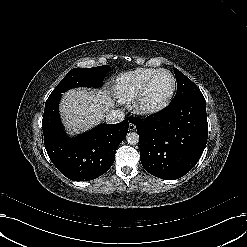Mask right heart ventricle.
Returning <instances> with one entry per match:
<instances>
[{"mask_svg": "<svg viewBox=\"0 0 247 247\" xmlns=\"http://www.w3.org/2000/svg\"><path fill=\"white\" fill-rule=\"evenodd\" d=\"M157 70L156 68H137L122 73L116 79L114 86L115 95L120 102L132 101Z\"/></svg>", "mask_w": 247, "mask_h": 247, "instance_id": "e07e8e85", "label": "right heart ventricle"}]
</instances>
